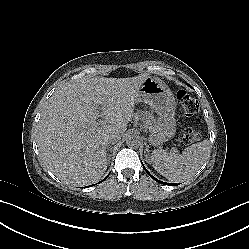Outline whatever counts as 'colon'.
<instances>
[{
    "label": "colon",
    "instance_id": "5ec220e1",
    "mask_svg": "<svg viewBox=\"0 0 249 249\" xmlns=\"http://www.w3.org/2000/svg\"><path fill=\"white\" fill-rule=\"evenodd\" d=\"M176 98L180 104L183 114L187 117H192L199 111L197 100L192 97L186 90L180 89L176 94ZM183 137L187 142H195L199 133L194 129L188 128L184 131Z\"/></svg>",
    "mask_w": 249,
    "mask_h": 249
}]
</instances>
